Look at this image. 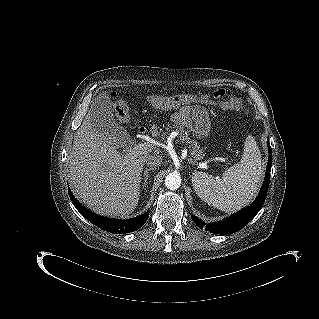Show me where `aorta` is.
<instances>
[{"mask_svg": "<svg viewBox=\"0 0 319 319\" xmlns=\"http://www.w3.org/2000/svg\"><path fill=\"white\" fill-rule=\"evenodd\" d=\"M181 185V177L177 173H170L165 178V186L169 190H176Z\"/></svg>", "mask_w": 319, "mask_h": 319, "instance_id": "obj_1", "label": "aorta"}]
</instances>
